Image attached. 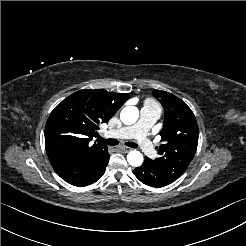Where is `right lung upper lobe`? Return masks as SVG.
<instances>
[{"instance_id":"cb5924a9","label":"right lung upper lobe","mask_w":246,"mask_h":246,"mask_svg":"<svg viewBox=\"0 0 246 246\" xmlns=\"http://www.w3.org/2000/svg\"><path fill=\"white\" fill-rule=\"evenodd\" d=\"M129 98L103 89H83L64 99L50 114L45 147L51 163L91 159L107 146L90 142L99 124L108 120Z\"/></svg>"}]
</instances>
